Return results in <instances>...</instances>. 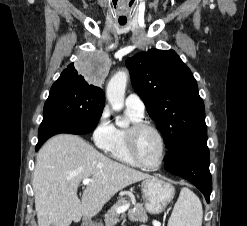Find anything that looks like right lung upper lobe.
Masks as SVG:
<instances>
[{"label": "right lung upper lobe", "mask_w": 247, "mask_h": 226, "mask_svg": "<svg viewBox=\"0 0 247 226\" xmlns=\"http://www.w3.org/2000/svg\"><path fill=\"white\" fill-rule=\"evenodd\" d=\"M75 74H76V70L74 68V64L71 63L70 65H68V68L65 69L61 73L60 77L72 76V77L75 78L77 83L82 84V85H87V82L83 78H81V77H79L78 75H75ZM91 88L94 89L95 91H97L99 94L104 96L103 90L100 89L99 87H91Z\"/></svg>", "instance_id": "obj_1"}]
</instances>
